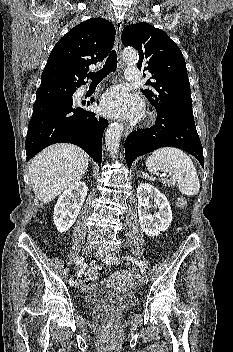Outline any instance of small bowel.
<instances>
[{
    "label": "small bowel",
    "mask_w": 233,
    "mask_h": 352,
    "mask_svg": "<svg viewBox=\"0 0 233 352\" xmlns=\"http://www.w3.org/2000/svg\"><path fill=\"white\" fill-rule=\"evenodd\" d=\"M83 273H84V270L83 269H79L78 272H77V275L79 277H81L83 275Z\"/></svg>",
    "instance_id": "obj_1"
}]
</instances>
